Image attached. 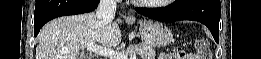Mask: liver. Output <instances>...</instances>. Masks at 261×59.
Wrapping results in <instances>:
<instances>
[{"label": "liver", "instance_id": "1", "mask_svg": "<svg viewBox=\"0 0 261 59\" xmlns=\"http://www.w3.org/2000/svg\"><path fill=\"white\" fill-rule=\"evenodd\" d=\"M122 20H99L94 12L60 17L47 23L38 35L36 59H80L88 44L111 48L121 43Z\"/></svg>", "mask_w": 261, "mask_h": 59}]
</instances>
